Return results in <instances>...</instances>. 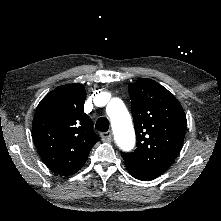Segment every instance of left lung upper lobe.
I'll list each match as a JSON object with an SVG mask.
<instances>
[{"instance_id":"left-lung-upper-lobe-1","label":"left lung upper lobe","mask_w":221,"mask_h":221,"mask_svg":"<svg viewBox=\"0 0 221 221\" xmlns=\"http://www.w3.org/2000/svg\"><path fill=\"white\" fill-rule=\"evenodd\" d=\"M137 137L134 152L123 153L125 166L152 180L179 154L187 120L179 101L159 83L140 79L129 85Z\"/></svg>"}]
</instances>
